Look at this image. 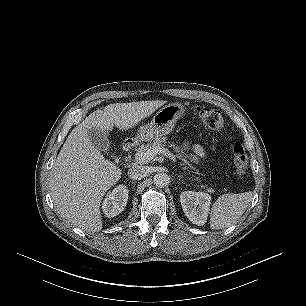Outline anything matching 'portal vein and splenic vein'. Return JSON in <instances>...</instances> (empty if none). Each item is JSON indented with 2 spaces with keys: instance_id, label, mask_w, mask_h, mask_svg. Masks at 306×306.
Here are the masks:
<instances>
[{
  "instance_id": "18ae733b",
  "label": "portal vein and splenic vein",
  "mask_w": 306,
  "mask_h": 306,
  "mask_svg": "<svg viewBox=\"0 0 306 306\" xmlns=\"http://www.w3.org/2000/svg\"><path fill=\"white\" fill-rule=\"evenodd\" d=\"M157 154H165L170 157L172 160H175V156L166 148L159 147L148 150L145 153L138 154L136 156V161L138 162H149L152 160Z\"/></svg>"
}]
</instances>
